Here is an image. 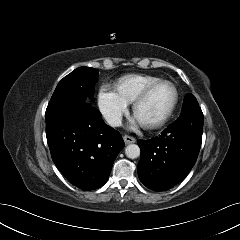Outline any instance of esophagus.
I'll return each instance as SVG.
<instances>
[{
    "mask_svg": "<svg viewBox=\"0 0 240 240\" xmlns=\"http://www.w3.org/2000/svg\"><path fill=\"white\" fill-rule=\"evenodd\" d=\"M123 139H124L125 144H131V143H135L136 142V139L134 137H132V136H129V135H125L123 137Z\"/></svg>",
    "mask_w": 240,
    "mask_h": 240,
    "instance_id": "obj_1",
    "label": "esophagus"
}]
</instances>
